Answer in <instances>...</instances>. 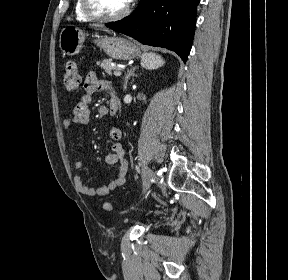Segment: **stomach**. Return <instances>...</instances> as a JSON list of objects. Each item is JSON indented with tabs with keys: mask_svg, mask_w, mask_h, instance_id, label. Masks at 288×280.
Listing matches in <instances>:
<instances>
[{
	"mask_svg": "<svg viewBox=\"0 0 288 280\" xmlns=\"http://www.w3.org/2000/svg\"><path fill=\"white\" fill-rule=\"evenodd\" d=\"M85 38L86 34L81 29L74 25H67L60 33V48L66 55H76L82 48ZM94 42L113 59L130 60L140 54L137 45L122 37H98Z\"/></svg>",
	"mask_w": 288,
	"mask_h": 280,
	"instance_id": "obj_1",
	"label": "stomach"
}]
</instances>
